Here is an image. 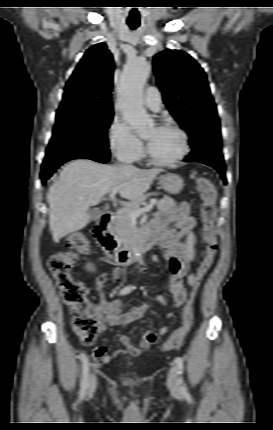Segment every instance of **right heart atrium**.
Returning <instances> with one entry per match:
<instances>
[{
	"label": "right heart atrium",
	"instance_id": "1",
	"mask_svg": "<svg viewBox=\"0 0 273 430\" xmlns=\"http://www.w3.org/2000/svg\"><path fill=\"white\" fill-rule=\"evenodd\" d=\"M109 147L114 156L122 162L138 160L144 151L142 141L119 117H114L108 129Z\"/></svg>",
	"mask_w": 273,
	"mask_h": 430
}]
</instances>
